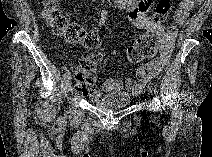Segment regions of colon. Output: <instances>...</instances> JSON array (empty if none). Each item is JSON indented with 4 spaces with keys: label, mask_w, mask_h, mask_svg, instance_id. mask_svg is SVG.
<instances>
[{
    "label": "colon",
    "mask_w": 212,
    "mask_h": 157,
    "mask_svg": "<svg viewBox=\"0 0 212 157\" xmlns=\"http://www.w3.org/2000/svg\"><path fill=\"white\" fill-rule=\"evenodd\" d=\"M172 4V0H160L157 3L151 18L154 26L146 30L127 48L126 56L129 63L137 64L155 57L159 48H161L165 35L159 27L169 14ZM42 16L53 33L69 43L83 44L93 51L95 57H100L101 50L98 37L87 34L80 24L72 22L64 16L55 1L44 2ZM167 38L169 37L167 36ZM74 79L75 89L78 93L84 94L91 90L97 82L95 60L89 56L83 58L75 72Z\"/></svg>",
    "instance_id": "colon-1"
}]
</instances>
